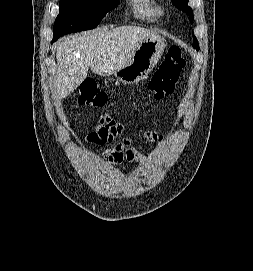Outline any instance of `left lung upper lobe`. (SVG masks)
<instances>
[{"mask_svg": "<svg viewBox=\"0 0 253 271\" xmlns=\"http://www.w3.org/2000/svg\"><path fill=\"white\" fill-rule=\"evenodd\" d=\"M173 4L176 6V8L186 12L189 15V20L191 21V23L193 22V11L188 6V0H173ZM193 47L196 50H199V44L195 36L193 41Z\"/></svg>", "mask_w": 253, "mask_h": 271, "instance_id": "5c2ea615", "label": "left lung upper lobe"}]
</instances>
